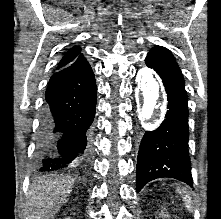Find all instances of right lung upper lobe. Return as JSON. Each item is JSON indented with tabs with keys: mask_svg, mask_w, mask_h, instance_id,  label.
<instances>
[{
	"mask_svg": "<svg viewBox=\"0 0 221 219\" xmlns=\"http://www.w3.org/2000/svg\"><path fill=\"white\" fill-rule=\"evenodd\" d=\"M80 48L75 46L71 48L61 59L60 63L58 64V69H62L64 67H67L71 63H73L78 57L83 56V54L80 53Z\"/></svg>",
	"mask_w": 221,
	"mask_h": 219,
	"instance_id": "obj_1",
	"label": "right lung upper lobe"
}]
</instances>
